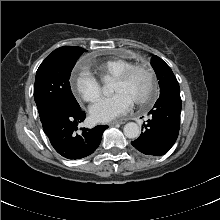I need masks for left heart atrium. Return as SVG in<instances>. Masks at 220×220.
<instances>
[{
	"mask_svg": "<svg viewBox=\"0 0 220 220\" xmlns=\"http://www.w3.org/2000/svg\"><path fill=\"white\" fill-rule=\"evenodd\" d=\"M133 103V99L128 94L117 93L94 104L90 109V114L96 122H108L126 114Z\"/></svg>",
	"mask_w": 220,
	"mask_h": 220,
	"instance_id": "obj_1",
	"label": "left heart atrium"
}]
</instances>
